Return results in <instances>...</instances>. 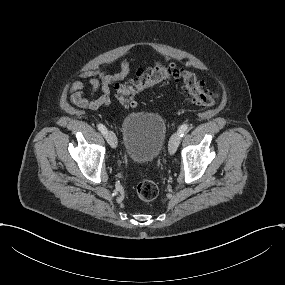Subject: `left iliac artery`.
<instances>
[{
    "instance_id": "44dca946",
    "label": "left iliac artery",
    "mask_w": 285,
    "mask_h": 285,
    "mask_svg": "<svg viewBox=\"0 0 285 285\" xmlns=\"http://www.w3.org/2000/svg\"><path fill=\"white\" fill-rule=\"evenodd\" d=\"M187 129H188V125L183 124V125L179 128V130H178V135H179L180 137H183L184 134L186 133Z\"/></svg>"
}]
</instances>
